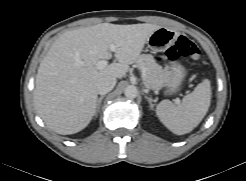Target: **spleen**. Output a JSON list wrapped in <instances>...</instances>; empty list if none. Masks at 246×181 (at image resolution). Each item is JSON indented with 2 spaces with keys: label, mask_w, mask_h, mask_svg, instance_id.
I'll return each mask as SVG.
<instances>
[{
  "label": "spleen",
  "mask_w": 246,
  "mask_h": 181,
  "mask_svg": "<svg viewBox=\"0 0 246 181\" xmlns=\"http://www.w3.org/2000/svg\"><path fill=\"white\" fill-rule=\"evenodd\" d=\"M211 95L210 81L205 79L192 93L183 98L180 105H175L170 100L161 101L156 107V114L174 134L189 133L199 125L208 112Z\"/></svg>",
  "instance_id": "spleen-1"
}]
</instances>
